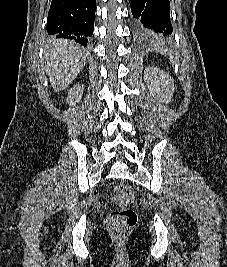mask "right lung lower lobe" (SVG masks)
I'll return each instance as SVG.
<instances>
[{"label":"right lung lower lobe","instance_id":"98d812e1","mask_svg":"<svg viewBox=\"0 0 227 267\" xmlns=\"http://www.w3.org/2000/svg\"><path fill=\"white\" fill-rule=\"evenodd\" d=\"M95 3L96 0H52L48 33L87 46L94 30Z\"/></svg>","mask_w":227,"mask_h":267}]
</instances>
